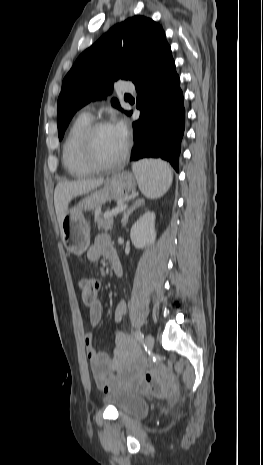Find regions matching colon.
<instances>
[{
	"label": "colon",
	"mask_w": 263,
	"mask_h": 465,
	"mask_svg": "<svg viewBox=\"0 0 263 465\" xmlns=\"http://www.w3.org/2000/svg\"><path fill=\"white\" fill-rule=\"evenodd\" d=\"M99 282L93 278H84L79 281V290L81 298L86 305H93L97 301L99 293ZM174 388L168 385L160 394H168L173 392Z\"/></svg>",
	"instance_id": "1"
}]
</instances>
